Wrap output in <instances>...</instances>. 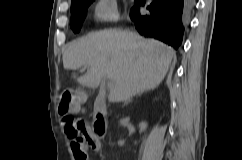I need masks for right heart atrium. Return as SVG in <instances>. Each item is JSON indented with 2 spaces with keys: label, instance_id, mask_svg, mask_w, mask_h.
Segmentation results:
<instances>
[{
  "label": "right heart atrium",
  "instance_id": "d8ad5b80",
  "mask_svg": "<svg viewBox=\"0 0 242 160\" xmlns=\"http://www.w3.org/2000/svg\"><path fill=\"white\" fill-rule=\"evenodd\" d=\"M94 19L100 22H110L118 19L115 0H95L93 6Z\"/></svg>",
  "mask_w": 242,
  "mask_h": 160
}]
</instances>
